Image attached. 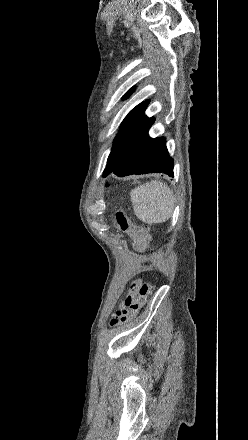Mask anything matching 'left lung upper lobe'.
I'll return each instance as SVG.
<instances>
[{"label": "left lung upper lobe", "mask_w": 248, "mask_h": 440, "mask_svg": "<svg viewBox=\"0 0 248 440\" xmlns=\"http://www.w3.org/2000/svg\"><path fill=\"white\" fill-rule=\"evenodd\" d=\"M134 88H131L123 97H128ZM148 101L137 105L125 117L120 127L119 133L114 140V146L107 160L106 169L103 176L109 175L114 168L119 164L122 158L135 145L148 138V131L155 121V118H148L144 111L147 107Z\"/></svg>", "instance_id": "obj_1"}]
</instances>
